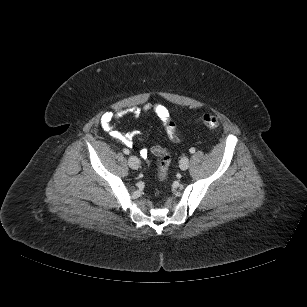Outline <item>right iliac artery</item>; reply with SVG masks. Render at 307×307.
Segmentation results:
<instances>
[{"label": "right iliac artery", "mask_w": 307, "mask_h": 307, "mask_svg": "<svg viewBox=\"0 0 307 307\" xmlns=\"http://www.w3.org/2000/svg\"><path fill=\"white\" fill-rule=\"evenodd\" d=\"M123 152L124 154H127V155L130 153L128 149H123Z\"/></svg>", "instance_id": "right-iliac-artery-1"}]
</instances>
